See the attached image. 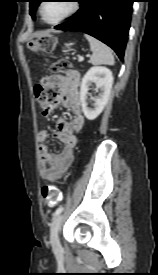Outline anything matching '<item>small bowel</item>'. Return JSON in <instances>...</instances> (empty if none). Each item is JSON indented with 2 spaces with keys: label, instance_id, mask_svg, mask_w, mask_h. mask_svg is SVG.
Masks as SVG:
<instances>
[{
  "label": "small bowel",
  "instance_id": "small-bowel-1",
  "mask_svg": "<svg viewBox=\"0 0 158 275\" xmlns=\"http://www.w3.org/2000/svg\"><path fill=\"white\" fill-rule=\"evenodd\" d=\"M80 82L81 76L76 70H70L66 75H51L44 79V84L47 87L59 90L52 109L58 105H62L69 107L72 111L71 122L63 117L57 119V132L55 135L63 143L61 152L57 154L49 152L47 146L48 131L41 130L38 133L39 174L42 179L47 181L54 182L63 178L73 160L77 144V134L82 130L85 123L81 107ZM48 114H43V116L47 117Z\"/></svg>",
  "mask_w": 158,
  "mask_h": 275
}]
</instances>
